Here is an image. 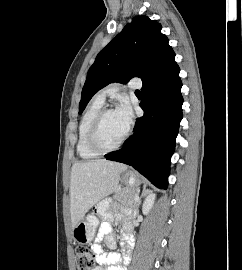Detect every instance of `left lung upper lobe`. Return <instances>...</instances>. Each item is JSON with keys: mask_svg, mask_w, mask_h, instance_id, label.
I'll list each match as a JSON object with an SVG mask.
<instances>
[{"mask_svg": "<svg viewBox=\"0 0 242 270\" xmlns=\"http://www.w3.org/2000/svg\"><path fill=\"white\" fill-rule=\"evenodd\" d=\"M161 24L136 16L100 53L90 67L82 89L79 114L92 96L112 82L126 83L133 77L146 80L157 68L174 59Z\"/></svg>", "mask_w": 242, "mask_h": 270, "instance_id": "left-lung-upper-lobe-1", "label": "left lung upper lobe"}]
</instances>
